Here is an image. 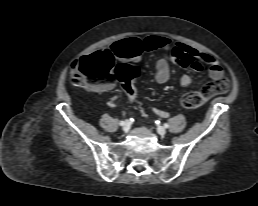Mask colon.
<instances>
[{
	"label": "colon",
	"mask_w": 258,
	"mask_h": 206,
	"mask_svg": "<svg viewBox=\"0 0 258 206\" xmlns=\"http://www.w3.org/2000/svg\"><path fill=\"white\" fill-rule=\"evenodd\" d=\"M139 68L132 63L115 64L112 55L106 52H96L77 59L72 64L71 79L78 87H92L109 81L118 80L132 100L135 95L134 78ZM229 90L226 78L206 84L200 91L185 94L181 105L185 108H197L210 98L224 94Z\"/></svg>",
	"instance_id": "5ec220e1"
}]
</instances>
